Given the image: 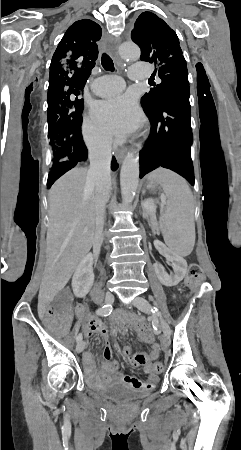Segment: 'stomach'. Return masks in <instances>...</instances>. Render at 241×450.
<instances>
[{
  "mask_svg": "<svg viewBox=\"0 0 241 450\" xmlns=\"http://www.w3.org/2000/svg\"><path fill=\"white\" fill-rule=\"evenodd\" d=\"M153 186H154V183H153V184H151V186H150V187L152 188Z\"/></svg>",
  "mask_w": 241,
  "mask_h": 450,
  "instance_id": "0dacf381",
  "label": "stomach"
}]
</instances>
